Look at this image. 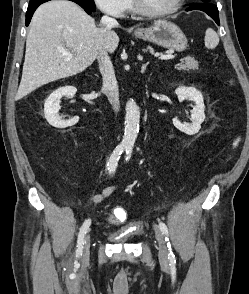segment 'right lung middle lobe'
Wrapping results in <instances>:
<instances>
[{"mask_svg":"<svg viewBox=\"0 0 249 294\" xmlns=\"http://www.w3.org/2000/svg\"><path fill=\"white\" fill-rule=\"evenodd\" d=\"M37 1H40V0H30L29 3H34ZM77 1H79L84 7H87L92 11L96 10L94 0H77Z\"/></svg>","mask_w":249,"mask_h":294,"instance_id":"obj_1","label":"right lung middle lobe"}]
</instances>
